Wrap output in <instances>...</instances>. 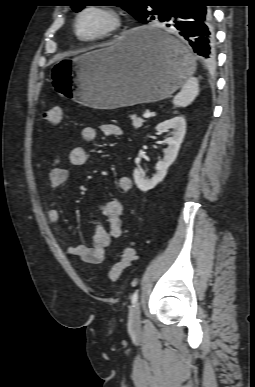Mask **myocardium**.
<instances>
[{"mask_svg":"<svg viewBox=\"0 0 255 387\" xmlns=\"http://www.w3.org/2000/svg\"><path fill=\"white\" fill-rule=\"evenodd\" d=\"M91 12L103 15L107 19V24L99 32L90 36H84L80 31V20L85 14ZM122 25L123 17L115 8L105 5H88L77 12L74 18L73 29L75 36L79 40L83 42H96L112 36L121 29Z\"/></svg>","mask_w":255,"mask_h":387,"instance_id":"1","label":"myocardium"}]
</instances>
